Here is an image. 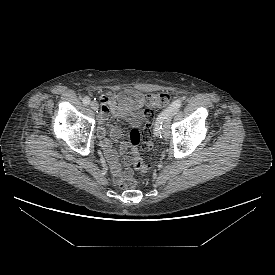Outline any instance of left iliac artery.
Returning a JSON list of instances; mask_svg holds the SVG:
<instances>
[{
	"label": "left iliac artery",
	"instance_id": "1",
	"mask_svg": "<svg viewBox=\"0 0 275 275\" xmlns=\"http://www.w3.org/2000/svg\"><path fill=\"white\" fill-rule=\"evenodd\" d=\"M182 106L181 100L174 101L165 111H163L155 122L154 134L158 137H162V124L167 116L177 112Z\"/></svg>",
	"mask_w": 275,
	"mask_h": 275
}]
</instances>
